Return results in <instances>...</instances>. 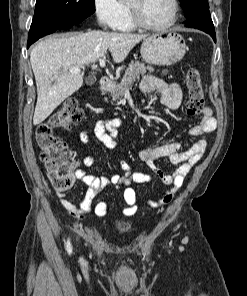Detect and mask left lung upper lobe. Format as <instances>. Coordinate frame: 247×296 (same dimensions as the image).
<instances>
[{
    "label": "left lung upper lobe",
    "mask_w": 247,
    "mask_h": 296,
    "mask_svg": "<svg viewBox=\"0 0 247 296\" xmlns=\"http://www.w3.org/2000/svg\"><path fill=\"white\" fill-rule=\"evenodd\" d=\"M186 16H193L203 10H209L207 0H179Z\"/></svg>",
    "instance_id": "1"
}]
</instances>
